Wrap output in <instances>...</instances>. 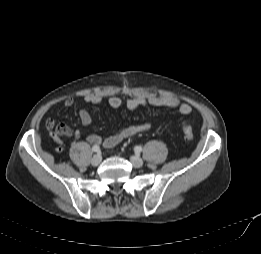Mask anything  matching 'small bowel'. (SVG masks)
Here are the masks:
<instances>
[{"label": "small bowel", "instance_id": "1", "mask_svg": "<svg viewBox=\"0 0 261 254\" xmlns=\"http://www.w3.org/2000/svg\"><path fill=\"white\" fill-rule=\"evenodd\" d=\"M103 96L101 94H87L84 96V101L90 104H99L102 102ZM74 104L73 99L68 98L63 102L65 108H71ZM108 104L111 108H119L122 105V100L117 96H112L108 100ZM145 105L154 107H166L178 110L183 115H189L192 112L190 105L180 101L177 98L169 96H155L150 95L148 97H134L127 101L126 106L129 110H136ZM79 119L83 126H88L92 122V116L86 109L79 111ZM46 128L51 131L53 136H64V137H81L83 131L81 128L72 129L69 126L58 123L53 119L46 121ZM151 129L150 123H144L140 125H130L118 130H115L111 135L106 138H102L96 134H90L87 136V141L94 145H102L105 148H112L122 142L124 139L137 134L139 132H146Z\"/></svg>", "mask_w": 261, "mask_h": 254}]
</instances>
